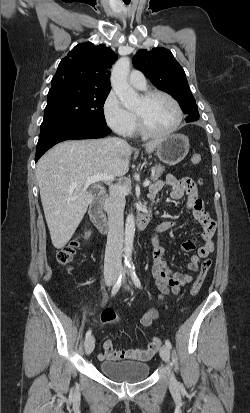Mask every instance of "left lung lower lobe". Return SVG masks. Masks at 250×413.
<instances>
[{
  "mask_svg": "<svg viewBox=\"0 0 250 413\" xmlns=\"http://www.w3.org/2000/svg\"><path fill=\"white\" fill-rule=\"evenodd\" d=\"M185 120L186 122H193V121L198 120V117H187Z\"/></svg>",
  "mask_w": 250,
  "mask_h": 413,
  "instance_id": "1",
  "label": "left lung lower lobe"
}]
</instances>
